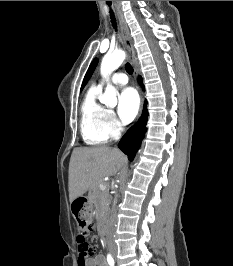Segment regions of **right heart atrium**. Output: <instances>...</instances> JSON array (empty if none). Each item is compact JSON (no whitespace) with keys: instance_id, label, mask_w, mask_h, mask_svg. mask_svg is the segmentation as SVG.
<instances>
[{"instance_id":"obj_1","label":"right heart atrium","mask_w":233,"mask_h":266,"mask_svg":"<svg viewBox=\"0 0 233 266\" xmlns=\"http://www.w3.org/2000/svg\"><path fill=\"white\" fill-rule=\"evenodd\" d=\"M103 127L108 138H115L122 131V124L112 110H107Z\"/></svg>"}]
</instances>
